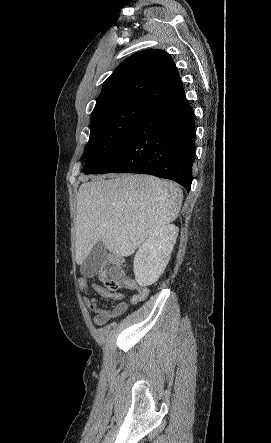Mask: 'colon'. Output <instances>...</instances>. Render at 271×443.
Masks as SVG:
<instances>
[{
  "label": "colon",
  "mask_w": 271,
  "mask_h": 443,
  "mask_svg": "<svg viewBox=\"0 0 271 443\" xmlns=\"http://www.w3.org/2000/svg\"><path fill=\"white\" fill-rule=\"evenodd\" d=\"M99 278L109 290L130 288L129 280L124 267V262L117 256H107L99 270Z\"/></svg>",
  "instance_id": "colon-1"
}]
</instances>
